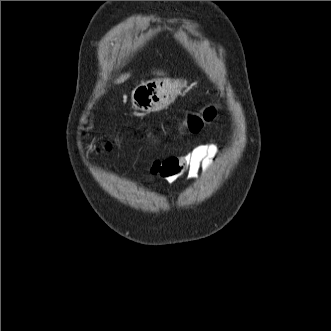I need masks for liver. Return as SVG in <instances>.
<instances>
[{"label": "liver", "instance_id": "liver-1", "mask_svg": "<svg viewBox=\"0 0 331 331\" xmlns=\"http://www.w3.org/2000/svg\"><path fill=\"white\" fill-rule=\"evenodd\" d=\"M158 75H164L163 72H157ZM130 77V73H125L123 75H121L117 80L116 83H123L125 82L128 78Z\"/></svg>", "mask_w": 331, "mask_h": 331}]
</instances>
